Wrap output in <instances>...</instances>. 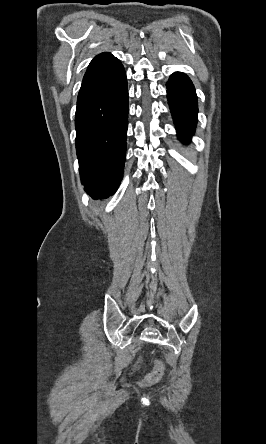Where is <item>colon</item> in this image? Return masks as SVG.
<instances>
[{
	"label": "colon",
	"instance_id": "obj_1",
	"mask_svg": "<svg viewBox=\"0 0 266 444\" xmlns=\"http://www.w3.org/2000/svg\"><path fill=\"white\" fill-rule=\"evenodd\" d=\"M165 375V365L164 363L157 359L154 362L153 370L145 377L144 384L153 385L159 382Z\"/></svg>",
	"mask_w": 266,
	"mask_h": 444
}]
</instances>
